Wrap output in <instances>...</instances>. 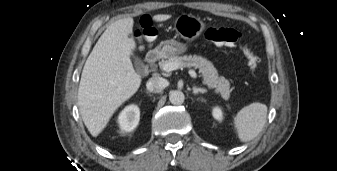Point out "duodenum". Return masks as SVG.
<instances>
[{
    "label": "duodenum",
    "instance_id": "duodenum-1",
    "mask_svg": "<svg viewBox=\"0 0 337 171\" xmlns=\"http://www.w3.org/2000/svg\"><path fill=\"white\" fill-rule=\"evenodd\" d=\"M162 52L159 49L151 50L146 56V62L148 69H152L161 58Z\"/></svg>",
    "mask_w": 337,
    "mask_h": 171
}]
</instances>
